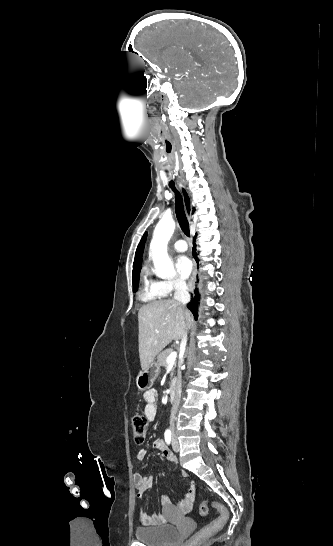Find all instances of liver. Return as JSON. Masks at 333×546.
I'll use <instances>...</instances> for the list:
<instances>
[{
  "label": "liver",
  "instance_id": "1",
  "mask_svg": "<svg viewBox=\"0 0 333 546\" xmlns=\"http://www.w3.org/2000/svg\"><path fill=\"white\" fill-rule=\"evenodd\" d=\"M191 314L173 299L144 305L138 312L139 357L142 370L173 340L182 339Z\"/></svg>",
  "mask_w": 333,
  "mask_h": 546
}]
</instances>
